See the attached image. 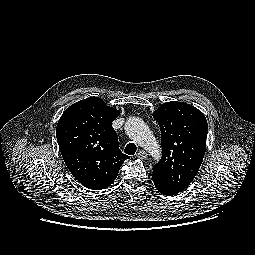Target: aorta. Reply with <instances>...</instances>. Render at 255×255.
Wrapping results in <instances>:
<instances>
[{"mask_svg": "<svg viewBox=\"0 0 255 255\" xmlns=\"http://www.w3.org/2000/svg\"><path fill=\"white\" fill-rule=\"evenodd\" d=\"M126 134L155 159L160 157V147L145 122L139 117H130L125 123Z\"/></svg>", "mask_w": 255, "mask_h": 255, "instance_id": "aorta-1", "label": "aorta"}]
</instances>
